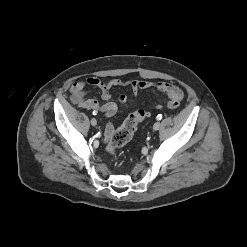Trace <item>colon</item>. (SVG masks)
<instances>
[{"instance_id": "1", "label": "colon", "mask_w": 247, "mask_h": 247, "mask_svg": "<svg viewBox=\"0 0 247 247\" xmlns=\"http://www.w3.org/2000/svg\"><path fill=\"white\" fill-rule=\"evenodd\" d=\"M146 113L142 110L136 111L126 118L122 125L113 133L107 145V152L115 156L120 147L126 145L133 137L138 123L143 121Z\"/></svg>"}]
</instances>
